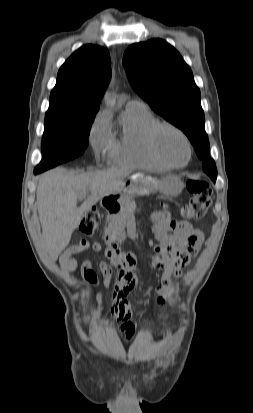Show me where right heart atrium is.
I'll return each mask as SVG.
<instances>
[{
	"label": "right heart atrium",
	"instance_id": "obj_1",
	"mask_svg": "<svg viewBox=\"0 0 253 413\" xmlns=\"http://www.w3.org/2000/svg\"><path fill=\"white\" fill-rule=\"evenodd\" d=\"M112 143V136L108 126L107 118L101 114L93 124L90 133V144L97 158L109 150Z\"/></svg>",
	"mask_w": 253,
	"mask_h": 413
}]
</instances>
